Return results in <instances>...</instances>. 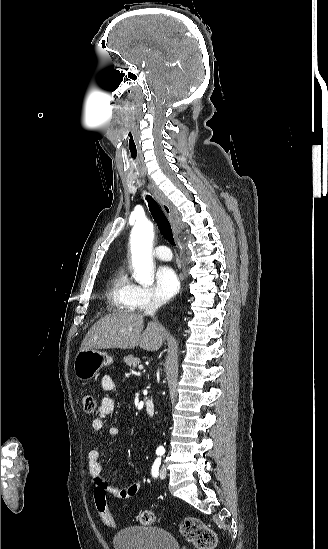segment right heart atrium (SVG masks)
<instances>
[{"mask_svg": "<svg viewBox=\"0 0 328 549\" xmlns=\"http://www.w3.org/2000/svg\"><path fill=\"white\" fill-rule=\"evenodd\" d=\"M143 303H163V299L153 286L140 287Z\"/></svg>", "mask_w": 328, "mask_h": 549, "instance_id": "right-heart-atrium-1", "label": "right heart atrium"}]
</instances>
